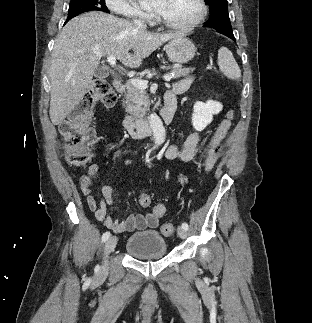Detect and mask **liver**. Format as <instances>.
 I'll return each mask as SVG.
<instances>
[{
	"mask_svg": "<svg viewBox=\"0 0 312 323\" xmlns=\"http://www.w3.org/2000/svg\"><path fill=\"white\" fill-rule=\"evenodd\" d=\"M181 34H152L128 20L88 12L70 20L58 34L50 62V120L62 124L81 102L101 56H115L127 68H139L159 46ZM133 50V54H129ZM101 54V56H97Z\"/></svg>",
	"mask_w": 312,
	"mask_h": 323,
	"instance_id": "6515ba94",
	"label": "liver"
}]
</instances>
